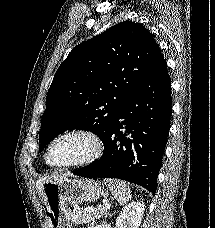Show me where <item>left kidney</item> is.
Masks as SVG:
<instances>
[{"label":"left kidney","mask_w":215,"mask_h":228,"mask_svg":"<svg viewBox=\"0 0 215 228\" xmlns=\"http://www.w3.org/2000/svg\"><path fill=\"white\" fill-rule=\"evenodd\" d=\"M146 206L143 202H131L117 218L116 228H139Z\"/></svg>","instance_id":"obj_1"}]
</instances>
